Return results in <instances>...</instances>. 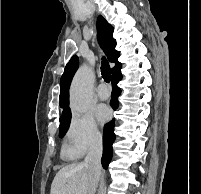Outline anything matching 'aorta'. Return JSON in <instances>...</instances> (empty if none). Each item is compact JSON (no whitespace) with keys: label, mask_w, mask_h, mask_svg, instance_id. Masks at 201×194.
Wrapping results in <instances>:
<instances>
[{"label":"aorta","mask_w":201,"mask_h":194,"mask_svg":"<svg viewBox=\"0 0 201 194\" xmlns=\"http://www.w3.org/2000/svg\"><path fill=\"white\" fill-rule=\"evenodd\" d=\"M94 72L86 64L82 65L73 77L70 86V107L78 113L88 111L92 102Z\"/></svg>","instance_id":"aorta-1"}]
</instances>
